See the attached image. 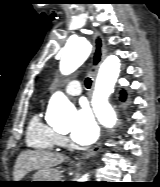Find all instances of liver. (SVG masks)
<instances>
[{"label":"liver","mask_w":160,"mask_h":187,"mask_svg":"<svg viewBox=\"0 0 160 187\" xmlns=\"http://www.w3.org/2000/svg\"><path fill=\"white\" fill-rule=\"evenodd\" d=\"M65 160L62 154L45 151L26 150L18 156L13 177L14 181H20L28 172L33 170H49L61 164Z\"/></svg>","instance_id":"6515ba94"}]
</instances>
